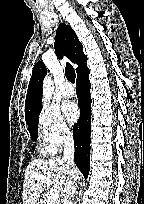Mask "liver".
Returning a JSON list of instances; mask_svg holds the SVG:
<instances>
[{
  "label": "liver",
  "mask_w": 144,
  "mask_h": 204,
  "mask_svg": "<svg viewBox=\"0 0 144 204\" xmlns=\"http://www.w3.org/2000/svg\"><path fill=\"white\" fill-rule=\"evenodd\" d=\"M39 175L51 179L52 190L58 191L61 197H66L72 185V177L68 173L66 162L59 157L34 159L27 166L24 174L23 204H37L40 194L45 190L44 182L35 181V177Z\"/></svg>",
  "instance_id": "1"
}]
</instances>
